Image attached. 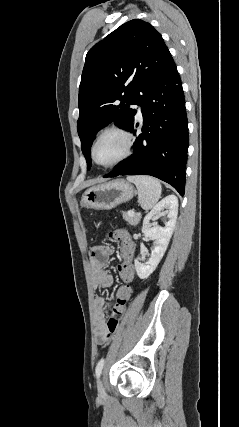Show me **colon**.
Wrapping results in <instances>:
<instances>
[{"instance_id": "1", "label": "colon", "mask_w": 239, "mask_h": 427, "mask_svg": "<svg viewBox=\"0 0 239 427\" xmlns=\"http://www.w3.org/2000/svg\"><path fill=\"white\" fill-rule=\"evenodd\" d=\"M125 225L117 226L111 232V243L118 244V254L120 262L116 264V281L121 282L114 290V297L108 298V303L111 305V310L114 315L107 321V333L105 338H109L111 334L118 329L119 322L117 314L120 308L127 302L123 298H129L132 292V286L137 275L135 240L132 237L133 230H124ZM115 303V304H114Z\"/></svg>"}]
</instances>
